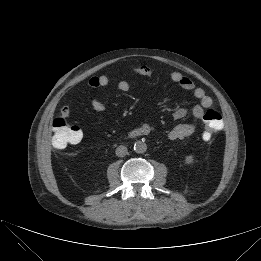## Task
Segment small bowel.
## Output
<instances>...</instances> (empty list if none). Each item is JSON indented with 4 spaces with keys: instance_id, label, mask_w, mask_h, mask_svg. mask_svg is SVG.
Wrapping results in <instances>:
<instances>
[{
    "instance_id": "1",
    "label": "small bowel",
    "mask_w": 261,
    "mask_h": 261,
    "mask_svg": "<svg viewBox=\"0 0 261 261\" xmlns=\"http://www.w3.org/2000/svg\"><path fill=\"white\" fill-rule=\"evenodd\" d=\"M133 72L141 76H149L151 74L150 67L146 65H139L134 67ZM169 78L179 85L182 89L191 91L196 99L199 100V104L195 105L192 110V118L186 123H181L173 127L169 133L168 138L171 140H180L191 136L197 129L198 122L204 116V112L207 108L212 106L213 100L206 94L203 88L197 87L195 83L187 76L180 72H172ZM110 78L106 74L93 76L88 80V87L101 88L109 84ZM117 88L124 93L131 90L130 84L121 80L117 84ZM90 105L93 110L99 113H105L107 111L106 105L98 99H92ZM188 114V110L184 107L176 109L173 113L175 119H182ZM61 115L64 118H68L71 115V109L69 106H63L61 109ZM151 131V126L148 123H143L141 126L132 129L129 132L131 138L147 135Z\"/></svg>"
}]
</instances>
